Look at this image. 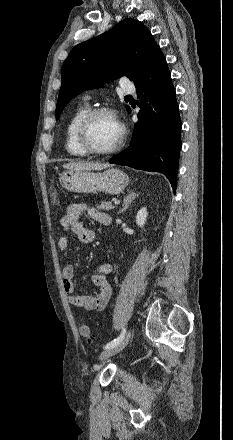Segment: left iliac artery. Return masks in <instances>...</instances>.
<instances>
[{
    "label": "left iliac artery",
    "instance_id": "left-iliac-artery-1",
    "mask_svg": "<svg viewBox=\"0 0 233 440\" xmlns=\"http://www.w3.org/2000/svg\"><path fill=\"white\" fill-rule=\"evenodd\" d=\"M125 334H126V330H125V328H123L121 334H120L116 339H114L113 341L107 343V344L105 345L104 348H105V349H109V348H111V347H114V346L117 345L120 341H122V339L125 337Z\"/></svg>",
    "mask_w": 233,
    "mask_h": 440
}]
</instances>
